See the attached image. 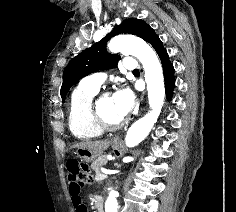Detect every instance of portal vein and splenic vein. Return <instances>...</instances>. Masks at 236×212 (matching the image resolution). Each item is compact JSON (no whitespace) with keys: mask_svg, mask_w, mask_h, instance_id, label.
<instances>
[{"mask_svg":"<svg viewBox=\"0 0 236 212\" xmlns=\"http://www.w3.org/2000/svg\"><path fill=\"white\" fill-rule=\"evenodd\" d=\"M109 174H112V171L111 170H105V169H102V173L100 176H98L100 179H105L107 178V175Z\"/></svg>","mask_w":236,"mask_h":212,"instance_id":"obj_1","label":"portal vein and splenic vein"}]
</instances>
